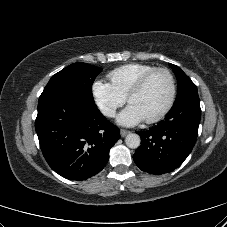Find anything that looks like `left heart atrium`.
Returning <instances> with one entry per match:
<instances>
[{"label":"left heart atrium","instance_id":"39dd6f15","mask_svg":"<svg viewBox=\"0 0 227 227\" xmlns=\"http://www.w3.org/2000/svg\"><path fill=\"white\" fill-rule=\"evenodd\" d=\"M118 122L125 126H132L144 120L140 112L133 106H127L117 118Z\"/></svg>","mask_w":227,"mask_h":227}]
</instances>
